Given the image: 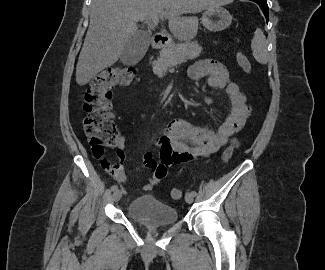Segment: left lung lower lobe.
I'll list each match as a JSON object with an SVG mask.
<instances>
[{
    "label": "left lung lower lobe",
    "instance_id": "obj_1",
    "mask_svg": "<svg viewBox=\"0 0 325 270\" xmlns=\"http://www.w3.org/2000/svg\"><path fill=\"white\" fill-rule=\"evenodd\" d=\"M252 1H254L255 3H257L260 6V8L262 9V11L266 17V20L268 21L269 8L267 5V0H252Z\"/></svg>",
    "mask_w": 325,
    "mask_h": 270
}]
</instances>
